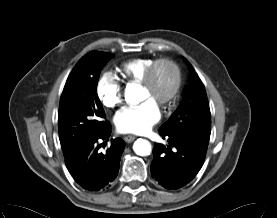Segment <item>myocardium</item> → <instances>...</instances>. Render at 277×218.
Listing matches in <instances>:
<instances>
[{
    "label": "myocardium",
    "instance_id": "1",
    "mask_svg": "<svg viewBox=\"0 0 277 218\" xmlns=\"http://www.w3.org/2000/svg\"><path fill=\"white\" fill-rule=\"evenodd\" d=\"M160 65L166 66L171 71V81L162 92H157V71ZM147 90L153 91V96L160 104H167L173 100L182 84V72L179 64L170 57H161L155 60L142 80Z\"/></svg>",
    "mask_w": 277,
    "mask_h": 218
}]
</instances>
